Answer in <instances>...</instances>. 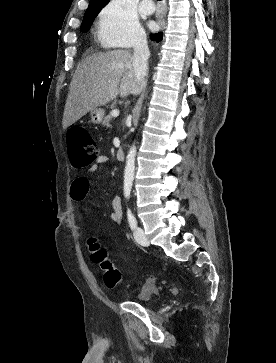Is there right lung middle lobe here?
<instances>
[{"label":"right lung middle lobe","mask_w":276,"mask_h":363,"mask_svg":"<svg viewBox=\"0 0 276 363\" xmlns=\"http://www.w3.org/2000/svg\"><path fill=\"white\" fill-rule=\"evenodd\" d=\"M103 6L104 5H101V4H91V5H89L88 9L86 10V12L84 14L83 21H82V24H81L80 30L82 32L85 33L90 29L94 19L96 18L98 13L101 11Z\"/></svg>","instance_id":"right-lung-middle-lobe-1"}]
</instances>
